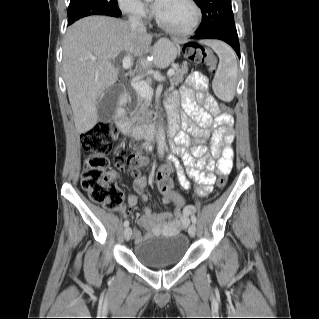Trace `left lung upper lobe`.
Segmentation results:
<instances>
[{"instance_id":"1","label":"left lung upper lobe","mask_w":319,"mask_h":319,"mask_svg":"<svg viewBox=\"0 0 319 319\" xmlns=\"http://www.w3.org/2000/svg\"><path fill=\"white\" fill-rule=\"evenodd\" d=\"M201 8L203 20L197 34L223 32L237 35L231 0H194Z\"/></svg>"}]
</instances>
